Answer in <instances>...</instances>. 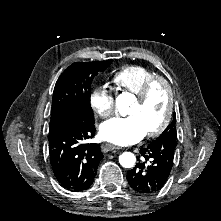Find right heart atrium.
Wrapping results in <instances>:
<instances>
[{
    "instance_id": "right-heart-atrium-1",
    "label": "right heart atrium",
    "mask_w": 221,
    "mask_h": 221,
    "mask_svg": "<svg viewBox=\"0 0 221 221\" xmlns=\"http://www.w3.org/2000/svg\"><path fill=\"white\" fill-rule=\"evenodd\" d=\"M90 105L93 111L101 118L106 119L114 110V97L110 90L104 86L95 88L90 95Z\"/></svg>"
}]
</instances>
